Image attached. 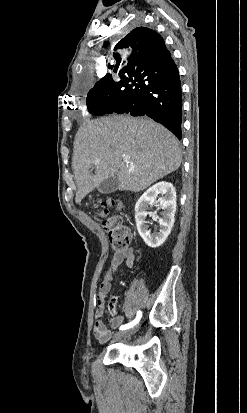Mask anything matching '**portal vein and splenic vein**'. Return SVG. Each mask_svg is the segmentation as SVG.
<instances>
[{
    "label": "portal vein and splenic vein",
    "instance_id": "obj_1",
    "mask_svg": "<svg viewBox=\"0 0 247 413\" xmlns=\"http://www.w3.org/2000/svg\"><path fill=\"white\" fill-rule=\"evenodd\" d=\"M99 160H95L94 164H98ZM125 162H129V160H125Z\"/></svg>",
    "mask_w": 247,
    "mask_h": 413
}]
</instances>
